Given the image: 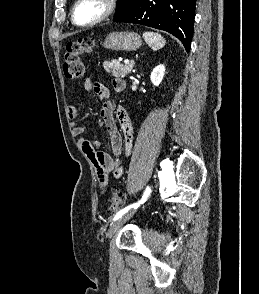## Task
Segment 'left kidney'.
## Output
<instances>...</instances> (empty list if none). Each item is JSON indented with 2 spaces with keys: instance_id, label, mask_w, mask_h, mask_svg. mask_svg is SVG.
<instances>
[{
  "instance_id": "left-kidney-1",
  "label": "left kidney",
  "mask_w": 259,
  "mask_h": 294,
  "mask_svg": "<svg viewBox=\"0 0 259 294\" xmlns=\"http://www.w3.org/2000/svg\"><path fill=\"white\" fill-rule=\"evenodd\" d=\"M165 74V66L164 65H158L153 69L150 75L151 82L154 86H159V84L162 82L163 77Z\"/></svg>"
}]
</instances>
